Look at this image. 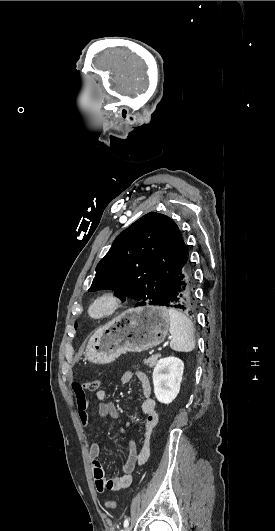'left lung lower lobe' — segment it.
<instances>
[{"label": "left lung lower lobe", "mask_w": 275, "mask_h": 531, "mask_svg": "<svg viewBox=\"0 0 275 531\" xmlns=\"http://www.w3.org/2000/svg\"><path fill=\"white\" fill-rule=\"evenodd\" d=\"M190 264L191 262L187 259L186 264L179 273L172 292L161 305L182 310L193 316L196 312L197 301Z\"/></svg>", "instance_id": "obj_1"}]
</instances>
